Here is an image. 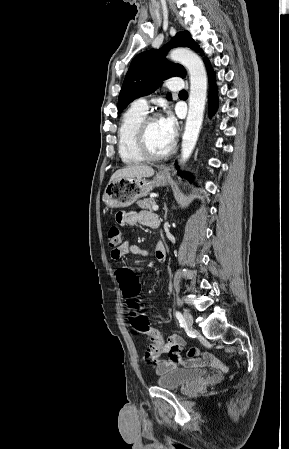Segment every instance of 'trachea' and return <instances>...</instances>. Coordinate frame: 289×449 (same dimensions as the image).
<instances>
[{"mask_svg": "<svg viewBox=\"0 0 289 449\" xmlns=\"http://www.w3.org/2000/svg\"><path fill=\"white\" fill-rule=\"evenodd\" d=\"M180 94H187V91L186 90H182V91H180Z\"/></svg>", "mask_w": 289, "mask_h": 449, "instance_id": "obj_1", "label": "trachea"}]
</instances>
